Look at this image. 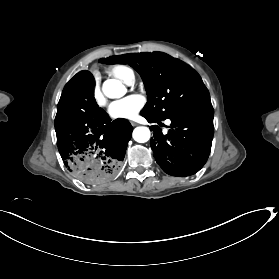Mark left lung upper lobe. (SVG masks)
I'll return each mask as SVG.
<instances>
[{
	"label": "left lung upper lobe",
	"mask_w": 279,
	"mask_h": 279,
	"mask_svg": "<svg viewBox=\"0 0 279 279\" xmlns=\"http://www.w3.org/2000/svg\"><path fill=\"white\" fill-rule=\"evenodd\" d=\"M99 62L129 64L141 75L148 95L141 115L159 121L211 104L200 76L184 62L165 53H131Z\"/></svg>",
	"instance_id": "1"
}]
</instances>
